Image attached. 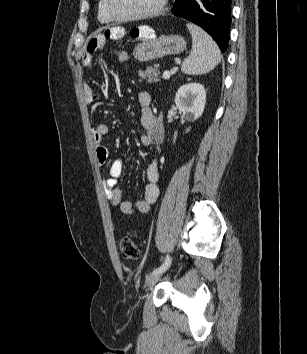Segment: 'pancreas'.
I'll return each instance as SVG.
<instances>
[{
    "mask_svg": "<svg viewBox=\"0 0 307 354\" xmlns=\"http://www.w3.org/2000/svg\"><path fill=\"white\" fill-rule=\"evenodd\" d=\"M160 65L155 64L154 66L147 67L144 71L139 70L138 75L146 83L158 82L159 79Z\"/></svg>",
    "mask_w": 307,
    "mask_h": 354,
    "instance_id": "pancreas-1",
    "label": "pancreas"
}]
</instances>
